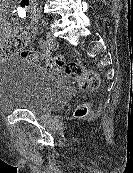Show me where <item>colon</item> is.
I'll list each match as a JSON object with an SVG mask.
<instances>
[{"instance_id":"5ec220e1","label":"colon","mask_w":133,"mask_h":173,"mask_svg":"<svg viewBox=\"0 0 133 173\" xmlns=\"http://www.w3.org/2000/svg\"><path fill=\"white\" fill-rule=\"evenodd\" d=\"M23 42L19 38H13L8 40L5 43V46L0 49V54L10 55L17 53L21 50ZM21 55L24 58L30 60H40L43 61L48 67L52 68H63L65 69L66 74L76 82L78 87L82 90H93L99 87L100 78L97 72L94 70L86 69L82 64L77 62H71L69 64H65L63 59L59 56H44L32 51H23ZM90 108L88 105L81 106L78 111V116H84L88 114Z\"/></svg>"}]
</instances>
